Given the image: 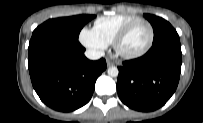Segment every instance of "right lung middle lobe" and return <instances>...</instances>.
<instances>
[{"mask_svg":"<svg viewBox=\"0 0 203 123\" xmlns=\"http://www.w3.org/2000/svg\"><path fill=\"white\" fill-rule=\"evenodd\" d=\"M93 18L94 15H76L71 17L49 19L38 26L33 31V35L50 34L77 41L83 26Z\"/></svg>","mask_w":203,"mask_h":123,"instance_id":"right-lung-middle-lobe-1","label":"right lung middle lobe"}]
</instances>
